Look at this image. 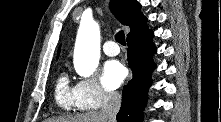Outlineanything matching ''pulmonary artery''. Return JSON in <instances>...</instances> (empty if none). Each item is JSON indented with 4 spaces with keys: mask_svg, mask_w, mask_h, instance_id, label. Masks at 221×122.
<instances>
[{
    "mask_svg": "<svg viewBox=\"0 0 221 122\" xmlns=\"http://www.w3.org/2000/svg\"><path fill=\"white\" fill-rule=\"evenodd\" d=\"M103 51L108 56H116L119 54L120 49L114 41H107L103 45Z\"/></svg>",
    "mask_w": 221,
    "mask_h": 122,
    "instance_id": "1",
    "label": "pulmonary artery"
}]
</instances>
